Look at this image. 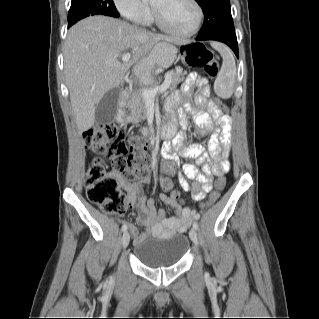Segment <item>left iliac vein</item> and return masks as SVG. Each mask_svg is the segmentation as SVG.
<instances>
[{"label":"left iliac vein","mask_w":319,"mask_h":319,"mask_svg":"<svg viewBox=\"0 0 319 319\" xmlns=\"http://www.w3.org/2000/svg\"><path fill=\"white\" fill-rule=\"evenodd\" d=\"M189 236H190V239H191L195 244H197V242H198V240H197V232H196V230H195L194 228L190 230Z\"/></svg>","instance_id":"obj_1"}]
</instances>
